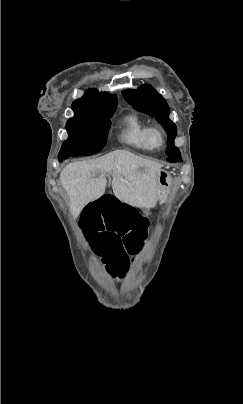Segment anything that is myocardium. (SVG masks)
Listing matches in <instances>:
<instances>
[{"instance_id":"f54148a6","label":"myocardium","mask_w":243,"mask_h":404,"mask_svg":"<svg viewBox=\"0 0 243 404\" xmlns=\"http://www.w3.org/2000/svg\"><path fill=\"white\" fill-rule=\"evenodd\" d=\"M147 137L148 140L157 147L161 146L164 143V132L160 127L156 125L148 126Z\"/></svg>"}]
</instances>
